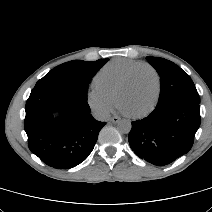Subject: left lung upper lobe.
Returning <instances> with one entry per match:
<instances>
[{"label": "left lung upper lobe", "mask_w": 212, "mask_h": 212, "mask_svg": "<svg viewBox=\"0 0 212 212\" xmlns=\"http://www.w3.org/2000/svg\"><path fill=\"white\" fill-rule=\"evenodd\" d=\"M161 77L158 104L173 99H188L200 103L199 94L191 78L176 64L159 57H147Z\"/></svg>", "instance_id": "left-lung-upper-lobe-1"}]
</instances>
